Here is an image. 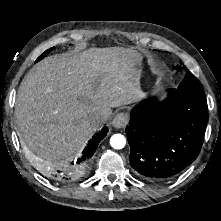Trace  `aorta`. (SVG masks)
<instances>
[{"label":"aorta","mask_w":221,"mask_h":221,"mask_svg":"<svg viewBox=\"0 0 221 221\" xmlns=\"http://www.w3.org/2000/svg\"><path fill=\"white\" fill-rule=\"evenodd\" d=\"M126 144V139L122 134H114L110 138V145L114 149H122Z\"/></svg>","instance_id":"obj_1"}]
</instances>
